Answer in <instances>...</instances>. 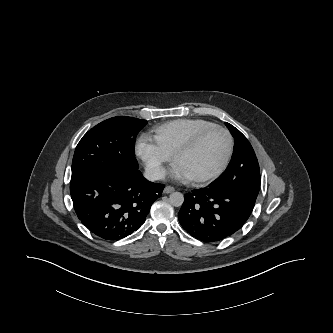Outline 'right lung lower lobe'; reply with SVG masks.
<instances>
[{"instance_id": "right-lung-lower-lobe-1", "label": "right lung lower lobe", "mask_w": 333, "mask_h": 333, "mask_svg": "<svg viewBox=\"0 0 333 333\" xmlns=\"http://www.w3.org/2000/svg\"><path fill=\"white\" fill-rule=\"evenodd\" d=\"M163 188L147 181L138 169L124 175L92 173L70 182L78 218L91 233L109 241L138 230Z\"/></svg>"}]
</instances>
